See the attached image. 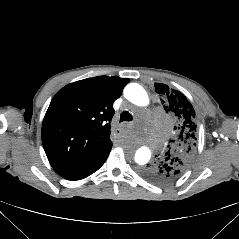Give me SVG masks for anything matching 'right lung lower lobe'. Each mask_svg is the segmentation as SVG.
Instances as JSON below:
<instances>
[{
    "mask_svg": "<svg viewBox=\"0 0 239 239\" xmlns=\"http://www.w3.org/2000/svg\"><path fill=\"white\" fill-rule=\"evenodd\" d=\"M112 148V143L104 147L97 155L79 167L63 174L62 177L67 180H80L97 171L106 161Z\"/></svg>",
    "mask_w": 239,
    "mask_h": 239,
    "instance_id": "obj_1",
    "label": "right lung lower lobe"
}]
</instances>
